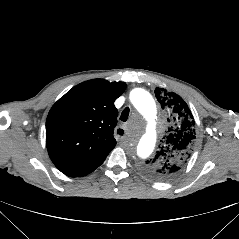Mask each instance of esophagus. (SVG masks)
I'll list each match as a JSON object with an SVG mask.
<instances>
[{
    "instance_id": "1",
    "label": "esophagus",
    "mask_w": 239,
    "mask_h": 239,
    "mask_svg": "<svg viewBox=\"0 0 239 239\" xmlns=\"http://www.w3.org/2000/svg\"><path fill=\"white\" fill-rule=\"evenodd\" d=\"M125 129L123 127H118L116 130V135L118 138L122 139L125 136Z\"/></svg>"
}]
</instances>
